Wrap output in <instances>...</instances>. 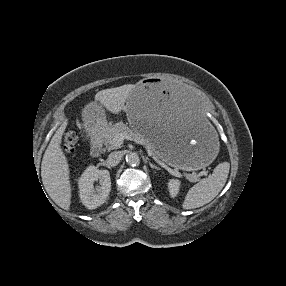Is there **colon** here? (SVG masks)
Here are the masks:
<instances>
[{"label":"colon","mask_w":286,"mask_h":286,"mask_svg":"<svg viewBox=\"0 0 286 286\" xmlns=\"http://www.w3.org/2000/svg\"><path fill=\"white\" fill-rule=\"evenodd\" d=\"M77 134L74 131H68L63 138V148L66 152L73 151L77 143Z\"/></svg>","instance_id":"colon-1"}]
</instances>
